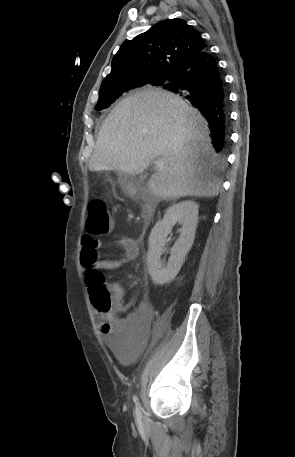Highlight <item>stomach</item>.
<instances>
[{
	"label": "stomach",
	"instance_id": "stomach-1",
	"mask_svg": "<svg viewBox=\"0 0 295 457\" xmlns=\"http://www.w3.org/2000/svg\"><path fill=\"white\" fill-rule=\"evenodd\" d=\"M123 184H124V186H125L127 189H130V188H131V185H130L129 183L124 182Z\"/></svg>",
	"mask_w": 295,
	"mask_h": 457
}]
</instances>
